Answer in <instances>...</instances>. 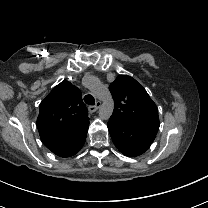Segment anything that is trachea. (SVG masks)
I'll list each match as a JSON object with an SVG mask.
<instances>
[{
  "mask_svg": "<svg viewBox=\"0 0 208 208\" xmlns=\"http://www.w3.org/2000/svg\"><path fill=\"white\" fill-rule=\"evenodd\" d=\"M84 101L86 104L93 106L95 105V99L92 95L88 94L84 97Z\"/></svg>",
  "mask_w": 208,
  "mask_h": 208,
  "instance_id": "obj_1",
  "label": "trachea"
}]
</instances>
